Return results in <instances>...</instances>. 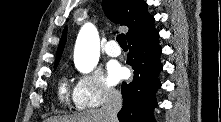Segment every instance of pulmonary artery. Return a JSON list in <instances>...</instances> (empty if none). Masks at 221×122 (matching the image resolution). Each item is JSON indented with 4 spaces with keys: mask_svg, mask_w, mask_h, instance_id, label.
<instances>
[{
    "mask_svg": "<svg viewBox=\"0 0 221 122\" xmlns=\"http://www.w3.org/2000/svg\"><path fill=\"white\" fill-rule=\"evenodd\" d=\"M105 52L111 57H117L121 54V49L115 40H110L105 45Z\"/></svg>",
    "mask_w": 221,
    "mask_h": 122,
    "instance_id": "e3ab8cb5",
    "label": "pulmonary artery"
}]
</instances>
